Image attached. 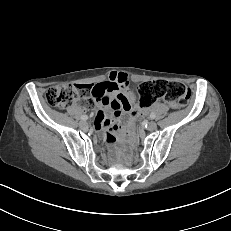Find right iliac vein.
Masks as SVG:
<instances>
[{
  "instance_id": "63e3f726",
  "label": "right iliac vein",
  "mask_w": 231,
  "mask_h": 231,
  "mask_svg": "<svg viewBox=\"0 0 231 231\" xmlns=\"http://www.w3.org/2000/svg\"><path fill=\"white\" fill-rule=\"evenodd\" d=\"M79 127L82 129L88 128V123L86 121H81Z\"/></svg>"
}]
</instances>
